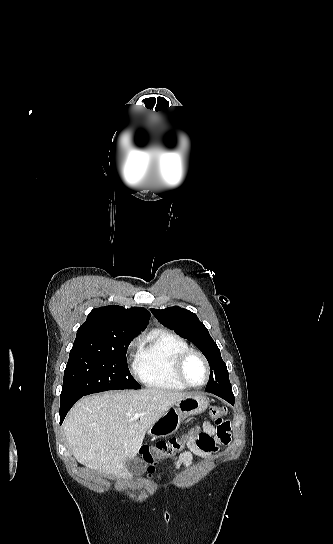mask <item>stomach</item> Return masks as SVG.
<instances>
[{
	"mask_svg": "<svg viewBox=\"0 0 333 544\" xmlns=\"http://www.w3.org/2000/svg\"><path fill=\"white\" fill-rule=\"evenodd\" d=\"M207 407V397L188 395L155 422L148 429V435L153 439L170 436L178 430L181 421L186 417L202 413Z\"/></svg>",
	"mask_w": 333,
	"mask_h": 544,
	"instance_id": "stomach-1",
	"label": "stomach"
}]
</instances>
